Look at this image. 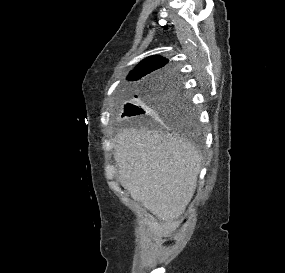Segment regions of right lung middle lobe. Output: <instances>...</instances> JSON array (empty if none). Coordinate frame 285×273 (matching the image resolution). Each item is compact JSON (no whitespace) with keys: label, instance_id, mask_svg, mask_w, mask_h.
<instances>
[{"label":"right lung middle lobe","instance_id":"right-lung-middle-lobe-1","mask_svg":"<svg viewBox=\"0 0 285 273\" xmlns=\"http://www.w3.org/2000/svg\"><path fill=\"white\" fill-rule=\"evenodd\" d=\"M146 84V88L135 96L134 103L124 106L122 116L133 117L136 121L159 117L173 127L187 131L196 128V116L176 74L160 75Z\"/></svg>","mask_w":285,"mask_h":273}]
</instances>
